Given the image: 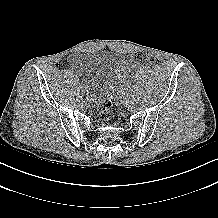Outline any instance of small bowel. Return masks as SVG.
<instances>
[{
  "label": "small bowel",
  "instance_id": "c3829d8e",
  "mask_svg": "<svg viewBox=\"0 0 218 218\" xmlns=\"http://www.w3.org/2000/svg\"><path fill=\"white\" fill-rule=\"evenodd\" d=\"M69 63L71 65H75L77 63V57L76 56L69 57Z\"/></svg>",
  "mask_w": 218,
  "mask_h": 218
}]
</instances>
